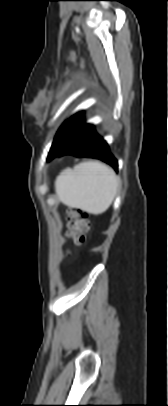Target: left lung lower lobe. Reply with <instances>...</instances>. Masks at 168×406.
I'll return each instance as SVG.
<instances>
[{"label":"left lung lower lobe","instance_id":"obj_1","mask_svg":"<svg viewBox=\"0 0 168 406\" xmlns=\"http://www.w3.org/2000/svg\"><path fill=\"white\" fill-rule=\"evenodd\" d=\"M64 154L98 158L111 165L115 170L118 168L117 161L111 155L108 145L95 132L92 125H85L72 140L52 151L48 155V160Z\"/></svg>","mask_w":168,"mask_h":406}]
</instances>
